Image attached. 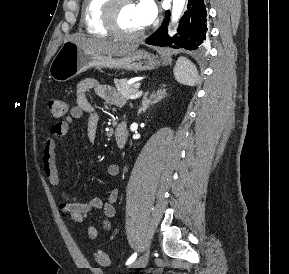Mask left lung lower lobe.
Wrapping results in <instances>:
<instances>
[{"instance_id": "left-lung-lower-lobe-1", "label": "left lung lower lobe", "mask_w": 289, "mask_h": 274, "mask_svg": "<svg viewBox=\"0 0 289 274\" xmlns=\"http://www.w3.org/2000/svg\"><path fill=\"white\" fill-rule=\"evenodd\" d=\"M170 13L166 12L162 26L145 43L155 46H172L187 50L198 49L207 39L208 22L204 0H189L187 11L180 19L177 33L170 38L167 33Z\"/></svg>"}]
</instances>
